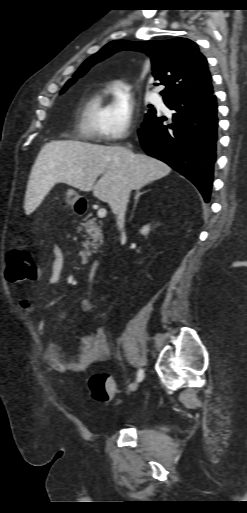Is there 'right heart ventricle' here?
Wrapping results in <instances>:
<instances>
[{
    "instance_id": "obj_1",
    "label": "right heart ventricle",
    "mask_w": 247,
    "mask_h": 513,
    "mask_svg": "<svg viewBox=\"0 0 247 513\" xmlns=\"http://www.w3.org/2000/svg\"><path fill=\"white\" fill-rule=\"evenodd\" d=\"M106 111L103 90L98 89L85 97L78 108L76 130L80 137L97 139L101 135V124Z\"/></svg>"
}]
</instances>
